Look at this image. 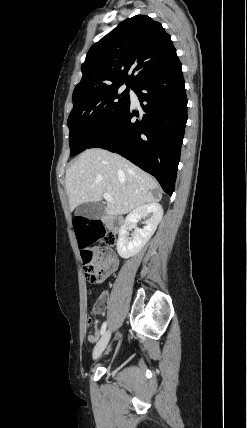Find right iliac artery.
<instances>
[{"label":"right iliac artery","mask_w":247,"mask_h":428,"mask_svg":"<svg viewBox=\"0 0 247 428\" xmlns=\"http://www.w3.org/2000/svg\"><path fill=\"white\" fill-rule=\"evenodd\" d=\"M106 327H107V323H106V322H104V323L102 324L101 331H100V334H101V335H103V334H104V332H105V330H106Z\"/></svg>","instance_id":"1"}]
</instances>
